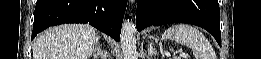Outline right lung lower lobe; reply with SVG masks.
<instances>
[{
    "mask_svg": "<svg viewBox=\"0 0 261 59\" xmlns=\"http://www.w3.org/2000/svg\"><path fill=\"white\" fill-rule=\"evenodd\" d=\"M126 6L127 0H37L32 40L50 26L89 23L119 41Z\"/></svg>",
    "mask_w": 261,
    "mask_h": 59,
    "instance_id": "obj_1",
    "label": "right lung lower lobe"
}]
</instances>
